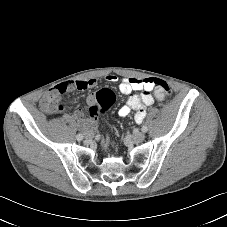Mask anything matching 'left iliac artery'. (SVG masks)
<instances>
[{
  "instance_id": "44dca946",
  "label": "left iliac artery",
  "mask_w": 227,
  "mask_h": 227,
  "mask_svg": "<svg viewBox=\"0 0 227 227\" xmlns=\"http://www.w3.org/2000/svg\"><path fill=\"white\" fill-rule=\"evenodd\" d=\"M141 130H142L143 132H147V131H148V127H147L146 125H144V126H142Z\"/></svg>"
}]
</instances>
